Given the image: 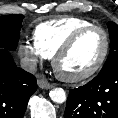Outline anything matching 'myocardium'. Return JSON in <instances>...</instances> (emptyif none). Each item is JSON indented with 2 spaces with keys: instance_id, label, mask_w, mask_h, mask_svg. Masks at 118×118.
<instances>
[{
  "instance_id": "f54148a6",
  "label": "myocardium",
  "mask_w": 118,
  "mask_h": 118,
  "mask_svg": "<svg viewBox=\"0 0 118 118\" xmlns=\"http://www.w3.org/2000/svg\"><path fill=\"white\" fill-rule=\"evenodd\" d=\"M92 30L99 31L102 34L103 39H104V49H103L102 55L99 58V60L97 61V63L88 71L78 74V75H67V74L63 73L59 68L60 59L72 49V47L76 44V42L84 34H86L89 31H92ZM109 50H110V38H109V35L106 32V30L99 25L91 24V25L82 27V28L78 29L77 31H75L57 49V51L54 53V55L52 57V67H53V70H54L55 74L57 75V77L60 78L61 80L65 81V82H70V83L80 82V81H83V80H86V79L92 77L102 68V66L104 65V63L108 57Z\"/></svg>"
}]
</instances>
